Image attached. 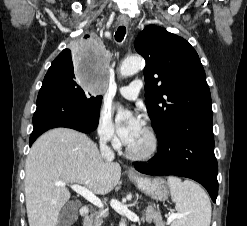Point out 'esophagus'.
Returning a JSON list of instances; mask_svg holds the SVG:
<instances>
[{
	"label": "esophagus",
	"mask_w": 247,
	"mask_h": 226,
	"mask_svg": "<svg viewBox=\"0 0 247 226\" xmlns=\"http://www.w3.org/2000/svg\"><path fill=\"white\" fill-rule=\"evenodd\" d=\"M119 23H120L121 25H126V24H128V20H127V19H121V20L119 21ZM128 173L131 174V175H135V174H136V173L134 172V170H132V169H129V170H128Z\"/></svg>",
	"instance_id": "1"
}]
</instances>
